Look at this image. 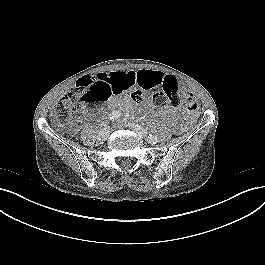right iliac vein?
Returning a JSON list of instances; mask_svg holds the SVG:
<instances>
[{
	"label": "right iliac vein",
	"mask_w": 265,
	"mask_h": 265,
	"mask_svg": "<svg viewBox=\"0 0 265 265\" xmlns=\"http://www.w3.org/2000/svg\"><path fill=\"white\" fill-rule=\"evenodd\" d=\"M110 135V131L107 128L102 129L98 134V139L100 141H105Z\"/></svg>",
	"instance_id": "right-iliac-vein-1"
}]
</instances>
